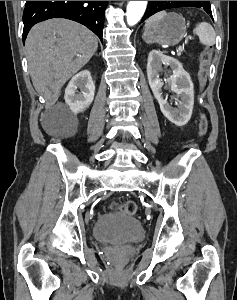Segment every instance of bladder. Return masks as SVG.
I'll return each instance as SVG.
<instances>
[{"label": "bladder", "mask_w": 237, "mask_h": 300, "mask_svg": "<svg viewBox=\"0 0 237 300\" xmlns=\"http://www.w3.org/2000/svg\"><path fill=\"white\" fill-rule=\"evenodd\" d=\"M93 239L98 243L137 242L144 236L139 220L120 212L100 215L92 228Z\"/></svg>", "instance_id": "obj_1"}]
</instances>
